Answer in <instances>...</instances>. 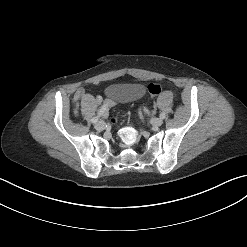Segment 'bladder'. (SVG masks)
Returning <instances> with one entry per match:
<instances>
[{
  "mask_svg": "<svg viewBox=\"0 0 247 247\" xmlns=\"http://www.w3.org/2000/svg\"><path fill=\"white\" fill-rule=\"evenodd\" d=\"M145 87L140 83L114 84L108 87V95L118 102H129L140 98Z\"/></svg>",
  "mask_w": 247,
  "mask_h": 247,
  "instance_id": "obj_1",
  "label": "bladder"
}]
</instances>
